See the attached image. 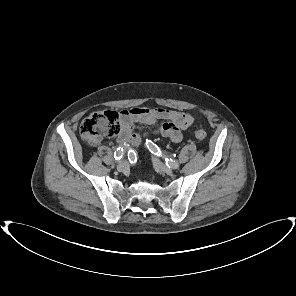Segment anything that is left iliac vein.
I'll return each instance as SVG.
<instances>
[{"mask_svg": "<svg viewBox=\"0 0 296 296\" xmlns=\"http://www.w3.org/2000/svg\"><path fill=\"white\" fill-rule=\"evenodd\" d=\"M153 164L154 166L156 167V169H158L159 171H162L166 174H171L173 169L168 167L167 165H165L164 163L160 162L159 160L157 159H153Z\"/></svg>", "mask_w": 296, "mask_h": 296, "instance_id": "left-iliac-vein-1", "label": "left iliac vein"}]
</instances>
